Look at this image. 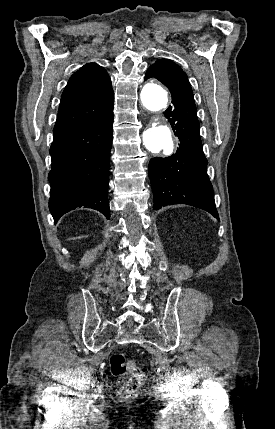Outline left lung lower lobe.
<instances>
[{
	"label": "left lung lower lobe",
	"mask_w": 275,
	"mask_h": 429,
	"mask_svg": "<svg viewBox=\"0 0 275 429\" xmlns=\"http://www.w3.org/2000/svg\"><path fill=\"white\" fill-rule=\"evenodd\" d=\"M151 77L158 79L171 92L172 105L165 111V116L180 141L175 154L150 160L153 209L187 204L206 210L219 220L212 185L207 175L208 162L203 153L190 83L181 78H166L165 75L148 70L145 80Z\"/></svg>",
	"instance_id": "left-lung-lower-lobe-1"
}]
</instances>
